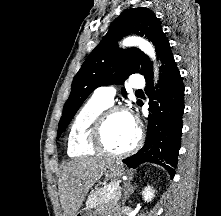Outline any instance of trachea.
<instances>
[{
	"label": "trachea",
	"instance_id": "trachea-1",
	"mask_svg": "<svg viewBox=\"0 0 221 216\" xmlns=\"http://www.w3.org/2000/svg\"><path fill=\"white\" fill-rule=\"evenodd\" d=\"M139 93H143V91L142 90H137L136 94H139Z\"/></svg>",
	"mask_w": 221,
	"mask_h": 216
}]
</instances>
